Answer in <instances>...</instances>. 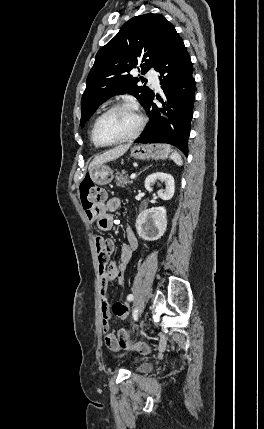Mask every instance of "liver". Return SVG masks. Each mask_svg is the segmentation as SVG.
I'll return each instance as SVG.
<instances>
[{"mask_svg":"<svg viewBox=\"0 0 264 429\" xmlns=\"http://www.w3.org/2000/svg\"><path fill=\"white\" fill-rule=\"evenodd\" d=\"M130 147V144L120 145L111 150L104 152L103 154L96 156L89 165V170L96 165L109 162L121 157Z\"/></svg>","mask_w":264,"mask_h":429,"instance_id":"obj_1","label":"liver"}]
</instances>
